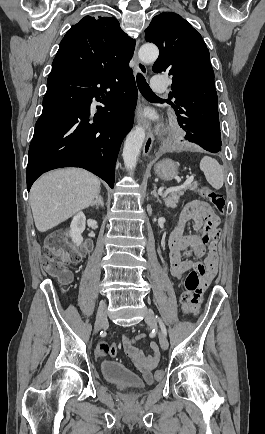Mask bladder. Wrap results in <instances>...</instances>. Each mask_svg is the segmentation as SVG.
Masks as SVG:
<instances>
[{
    "mask_svg": "<svg viewBox=\"0 0 265 434\" xmlns=\"http://www.w3.org/2000/svg\"><path fill=\"white\" fill-rule=\"evenodd\" d=\"M103 377L111 383L122 387H143L142 381L123 364L115 361H103L100 364Z\"/></svg>",
    "mask_w": 265,
    "mask_h": 434,
    "instance_id": "31cf9c89",
    "label": "bladder"
}]
</instances>
